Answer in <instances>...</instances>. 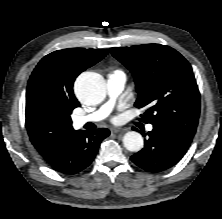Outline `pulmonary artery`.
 <instances>
[{"label":"pulmonary artery","instance_id":"pulmonary-artery-1","mask_svg":"<svg viewBox=\"0 0 222 219\" xmlns=\"http://www.w3.org/2000/svg\"><path fill=\"white\" fill-rule=\"evenodd\" d=\"M126 83V76L125 74L120 70H115L110 72L107 75V92L109 96V100L103 104L100 108L97 110L86 114V115H76L73 116V124L76 127H81L86 123L89 122H99L106 118L114 105L115 99L121 94V92L124 89ZM147 129L151 131L153 129L152 125H148Z\"/></svg>","mask_w":222,"mask_h":219}]
</instances>
